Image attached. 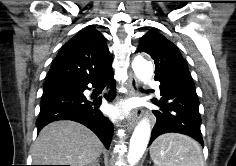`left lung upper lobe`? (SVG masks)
Listing matches in <instances>:
<instances>
[{
    "mask_svg": "<svg viewBox=\"0 0 236 166\" xmlns=\"http://www.w3.org/2000/svg\"><path fill=\"white\" fill-rule=\"evenodd\" d=\"M138 52H146L154 59L155 80L168 75H190L177 46L155 30H150L141 38Z\"/></svg>",
    "mask_w": 236,
    "mask_h": 166,
    "instance_id": "obj_1",
    "label": "left lung upper lobe"
}]
</instances>
